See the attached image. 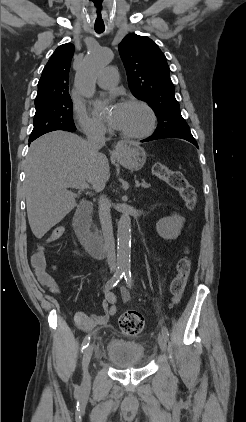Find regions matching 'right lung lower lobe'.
<instances>
[{"instance_id":"right-lung-lower-lobe-1","label":"right lung lower lobe","mask_w":246,"mask_h":422,"mask_svg":"<svg viewBox=\"0 0 246 422\" xmlns=\"http://www.w3.org/2000/svg\"><path fill=\"white\" fill-rule=\"evenodd\" d=\"M76 130V128L75 129H72V130H70V132H74ZM32 141H29V144L31 143Z\"/></svg>"}]
</instances>
